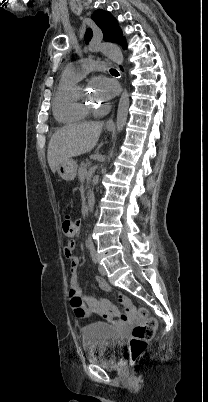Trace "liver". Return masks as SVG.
<instances>
[{
	"label": "liver",
	"mask_w": 208,
	"mask_h": 402,
	"mask_svg": "<svg viewBox=\"0 0 208 402\" xmlns=\"http://www.w3.org/2000/svg\"><path fill=\"white\" fill-rule=\"evenodd\" d=\"M103 128V122H85V124H70L60 128L53 134L48 146V164L55 174L59 164L91 152L98 142Z\"/></svg>",
	"instance_id": "liver-1"
}]
</instances>
